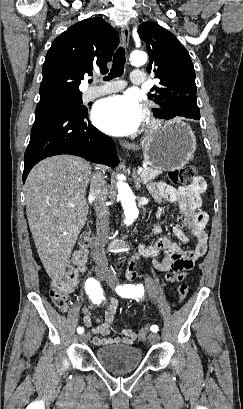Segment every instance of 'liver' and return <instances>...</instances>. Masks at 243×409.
<instances>
[{
    "label": "liver",
    "mask_w": 243,
    "mask_h": 409,
    "mask_svg": "<svg viewBox=\"0 0 243 409\" xmlns=\"http://www.w3.org/2000/svg\"><path fill=\"white\" fill-rule=\"evenodd\" d=\"M91 169L80 157L57 155L35 165L25 182L30 231L46 273L56 282L65 275L87 219Z\"/></svg>",
    "instance_id": "liver-1"
}]
</instances>
